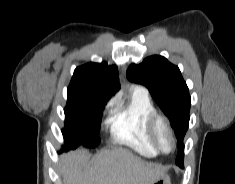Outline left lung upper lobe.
<instances>
[{
	"label": "left lung upper lobe",
	"instance_id": "5c2ea615",
	"mask_svg": "<svg viewBox=\"0 0 235 184\" xmlns=\"http://www.w3.org/2000/svg\"><path fill=\"white\" fill-rule=\"evenodd\" d=\"M127 79L146 86L153 99L168 116L178 142L176 164L183 166V139L189 125L191 98L186 82L176 65L166 58L153 55L139 65L131 64L127 69Z\"/></svg>",
	"mask_w": 235,
	"mask_h": 184
}]
</instances>
